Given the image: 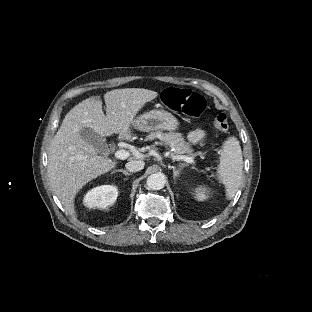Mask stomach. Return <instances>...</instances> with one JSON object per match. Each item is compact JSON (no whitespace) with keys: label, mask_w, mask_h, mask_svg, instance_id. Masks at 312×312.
Segmentation results:
<instances>
[{"label":"stomach","mask_w":312,"mask_h":312,"mask_svg":"<svg viewBox=\"0 0 312 312\" xmlns=\"http://www.w3.org/2000/svg\"><path fill=\"white\" fill-rule=\"evenodd\" d=\"M131 125L133 128L149 132L152 130H168L174 131L179 127L177 118L165 110L154 109L136 117ZM130 129L125 136H130Z\"/></svg>","instance_id":"obj_1"}]
</instances>
